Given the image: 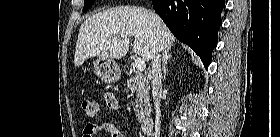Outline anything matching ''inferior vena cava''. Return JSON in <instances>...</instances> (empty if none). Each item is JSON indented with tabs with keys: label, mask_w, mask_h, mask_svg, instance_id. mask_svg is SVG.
<instances>
[{
	"label": "inferior vena cava",
	"mask_w": 280,
	"mask_h": 137,
	"mask_svg": "<svg viewBox=\"0 0 280 137\" xmlns=\"http://www.w3.org/2000/svg\"><path fill=\"white\" fill-rule=\"evenodd\" d=\"M156 18V15L154 14ZM161 93H162V73H161V59H160V50L157 48L155 50L153 59H152V95L155 105V132L153 137H160L161 131V110H160V102H161Z\"/></svg>",
	"instance_id": "602c4592"
}]
</instances>
